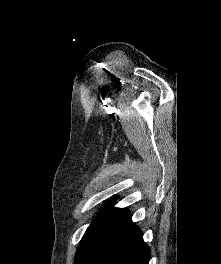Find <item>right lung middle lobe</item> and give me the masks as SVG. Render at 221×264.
<instances>
[{
	"label": "right lung middle lobe",
	"mask_w": 221,
	"mask_h": 264,
	"mask_svg": "<svg viewBox=\"0 0 221 264\" xmlns=\"http://www.w3.org/2000/svg\"><path fill=\"white\" fill-rule=\"evenodd\" d=\"M114 201H110L106 206L104 211L96 217V219L91 223V225L88 227L87 231L85 232L81 243L79 245V248L77 250L76 253V257L86 248V246L88 245L90 239L93 237V235L95 234L96 230L98 229V227L100 226L101 222L103 221V219L106 217V215L108 214V212L110 211V208L113 206Z\"/></svg>",
	"instance_id": "obj_1"
}]
</instances>
